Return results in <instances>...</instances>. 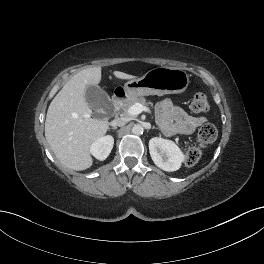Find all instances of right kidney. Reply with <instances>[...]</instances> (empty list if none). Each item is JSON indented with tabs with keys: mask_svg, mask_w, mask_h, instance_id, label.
I'll return each instance as SVG.
<instances>
[{
	"mask_svg": "<svg viewBox=\"0 0 264 264\" xmlns=\"http://www.w3.org/2000/svg\"><path fill=\"white\" fill-rule=\"evenodd\" d=\"M114 144V138L110 135L100 137L90 147V153L98 160H105Z\"/></svg>",
	"mask_w": 264,
	"mask_h": 264,
	"instance_id": "right-kidney-1",
	"label": "right kidney"
}]
</instances>
